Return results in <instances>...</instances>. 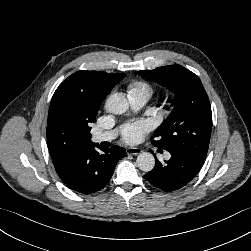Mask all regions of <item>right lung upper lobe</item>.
I'll return each mask as SVG.
<instances>
[{"instance_id":"cb5924a9","label":"right lung upper lobe","mask_w":251,"mask_h":251,"mask_svg":"<svg viewBox=\"0 0 251 251\" xmlns=\"http://www.w3.org/2000/svg\"><path fill=\"white\" fill-rule=\"evenodd\" d=\"M125 74L78 71L56 89L49 108L47 143L56 172L85 147L92 145L91 123L99 107Z\"/></svg>"}]
</instances>
